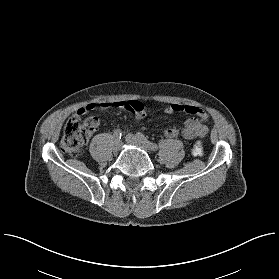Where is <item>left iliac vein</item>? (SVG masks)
Returning a JSON list of instances; mask_svg holds the SVG:
<instances>
[{"label": "left iliac vein", "instance_id": "1", "mask_svg": "<svg viewBox=\"0 0 279 279\" xmlns=\"http://www.w3.org/2000/svg\"><path fill=\"white\" fill-rule=\"evenodd\" d=\"M125 140L131 144V145H135L141 148H148L147 145H144L137 136L133 135V134H127L125 137Z\"/></svg>", "mask_w": 279, "mask_h": 279}]
</instances>
